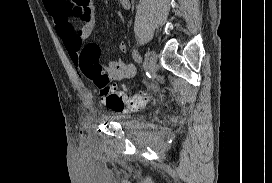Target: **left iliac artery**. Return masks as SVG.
I'll return each mask as SVG.
<instances>
[{
    "mask_svg": "<svg viewBox=\"0 0 272 183\" xmlns=\"http://www.w3.org/2000/svg\"><path fill=\"white\" fill-rule=\"evenodd\" d=\"M132 57L137 63H140L142 61V57L137 49H133Z\"/></svg>",
    "mask_w": 272,
    "mask_h": 183,
    "instance_id": "left-iliac-artery-1",
    "label": "left iliac artery"
}]
</instances>
